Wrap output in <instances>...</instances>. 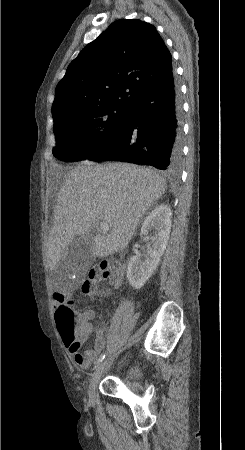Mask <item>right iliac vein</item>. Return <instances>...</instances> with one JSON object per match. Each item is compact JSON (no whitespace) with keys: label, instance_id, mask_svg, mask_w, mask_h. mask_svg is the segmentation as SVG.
I'll return each mask as SVG.
<instances>
[{"label":"right iliac vein","instance_id":"63e3f726","mask_svg":"<svg viewBox=\"0 0 245 450\" xmlns=\"http://www.w3.org/2000/svg\"><path fill=\"white\" fill-rule=\"evenodd\" d=\"M107 362H108L107 360H104L96 368V370L94 371V373H93V375H92V377L90 379V382L88 384V389H87L88 396H89L90 399H95V397H96L97 384H98V382L100 380V377H101L103 371L105 370V368L107 366Z\"/></svg>","mask_w":245,"mask_h":450}]
</instances>
